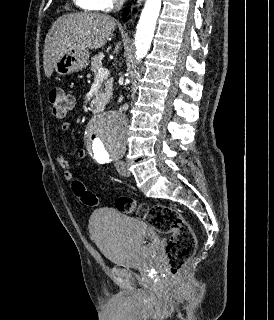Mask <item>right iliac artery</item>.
<instances>
[{
    "label": "right iliac artery",
    "mask_w": 274,
    "mask_h": 320,
    "mask_svg": "<svg viewBox=\"0 0 274 320\" xmlns=\"http://www.w3.org/2000/svg\"><path fill=\"white\" fill-rule=\"evenodd\" d=\"M106 161H101L100 163H105Z\"/></svg>",
    "instance_id": "1"
}]
</instances>
